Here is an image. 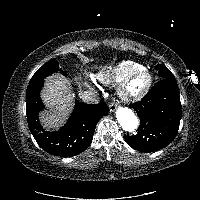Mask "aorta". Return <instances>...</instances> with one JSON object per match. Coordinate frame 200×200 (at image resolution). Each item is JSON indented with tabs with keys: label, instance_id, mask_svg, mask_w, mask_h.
Here are the masks:
<instances>
[{
	"label": "aorta",
	"instance_id": "1",
	"mask_svg": "<svg viewBox=\"0 0 200 200\" xmlns=\"http://www.w3.org/2000/svg\"><path fill=\"white\" fill-rule=\"evenodd\" d=\"M117 121L128 132H133L139 125V119L135 113L127 107H119L116 111Z\"/></svg>",
	"mask_w": 200,
	"mask_h": 200
}]
</instances>
